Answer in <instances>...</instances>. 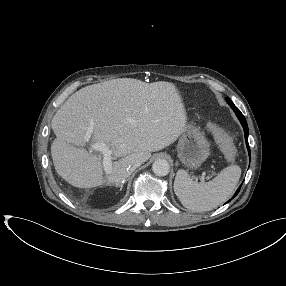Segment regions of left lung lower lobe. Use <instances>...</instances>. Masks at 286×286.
Segmentation results:
<instances>
[{
	"instance_id": "left-lung-lower-lobe-1",
	"label": "left lung lower lobe",
	"mask_w": 286,
	"mask_h": 286,
	"mask_svg": "<svg viewBox=\"0 0 286 286\" xmlns=\"http://www.w3.org/2000/svg\"><path fill=\"white\" fill-rule=\"evenodd\" d=\"M233 111L235 112L236 116L238 117L239 121L241 122L243 128H244V133H245V141H246V146H247V149H248V152H249V156H251V153H250V147H249V144H248V125H247V122H246V119L245 117L243 116V114L238 110L237 107H232ZM241 187V186H240ZM240 187L238 188V190L235 192L233 198L239 193V190H240ZM230 201V200H229ZM228 201V202H229Z\"/></svg>"
}]
</instances>
